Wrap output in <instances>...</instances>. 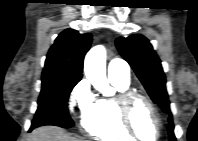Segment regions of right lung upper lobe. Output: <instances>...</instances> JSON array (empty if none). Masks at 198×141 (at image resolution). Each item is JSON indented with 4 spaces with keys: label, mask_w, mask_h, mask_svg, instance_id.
Masks as SVG:
<instances>
[{
    "label": "right lung upper lobe",
    "mask_w": 198,
    "mask_h": 141,
    "mask_svg": "<svg viewBox=\"0 0 198 141\" xmlns=\"http://www.w3.org/2000/svg\"><path fill=\"white\" fill-rule=\"evenodd\" d=\"M91 42L90 33L80 34L73 29L64 30L48 52L42 78L81 79L84 56Z\"/></svg>",
    "instance_id": "1"
}]
</instances>
